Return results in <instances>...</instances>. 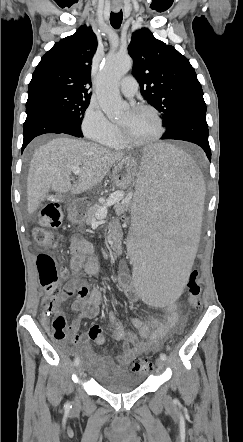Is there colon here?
<instances>
[{
    "mask_svg": "<svg viewBox=\"0 0 243 442\" xmlns=\"http://www.w3.org/2000/svg\"><path fill=\"white\" fill-rule=\"evenodd\" d=\"M118 221L123 226L128 227L131 224L129 213H119ZM63 221V211L58 200H49L48 205L41 211L40 221L33 229V239L37 245L49 250L57 246V241L51 232V229L60 227ZM39 282L45 289L44 299V316L47 325L51 326L52 334L55 339L63 340L68 334L66 333L65 318L56 312L58 299L63 296L59 287V271L56 267L54 259L49 254H41L37 259ZM201 268L194 266L191 268L187 283V301L191 308L198 309L200 307V299L203 297L202 286L199 280ZM51 316L54 319L51 321ZM153 369V365L149 360L142 357L132 358L131 370L134 373L145 375Z\"/></svg>",
    "mask_w": 243,
    "mask_h": 442,
    "instance_id": "1",
    "label": "colon"
}]
</instances>
